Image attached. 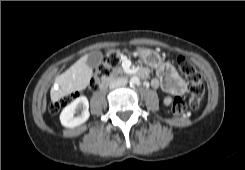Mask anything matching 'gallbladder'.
I'll use <instances>...</instances> for the list:
<instances>
[{
  "mask_svg": "<svg viewBox=\"0 0 245 170\" xmlns=\"http://www.w3.org/2000/svg\"><path fill=\"white\" fill-rule=\"evenodd\" d=\"M102 61V53L98 50L88 54L86 64L91 68H96Z\"/></svg>",
  "mask_w": 245,
  "mask_h": 170,
  "instance_id": "1",
  "label": "gallbladder"
}]
</instances>
